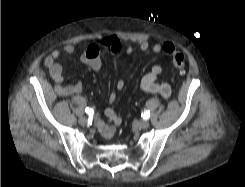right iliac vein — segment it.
Segmentation results:
<instances>
[{"instance_id":"63e3f726","label":"right iliac vein","mask_w":245,"mask_h":187,"mask_svg":"<svg viewBox=\"0 0 245 187\" xmlns=\"http://www.w3.org/2000/svg\"><path fill=\"white\" fill-rule=\"evenodd\" d=\"M79 123L82 125V126H85L87 124V118L86 117H80L79 118Z\"/></svg>"}]
</instances>
